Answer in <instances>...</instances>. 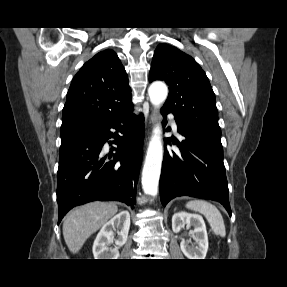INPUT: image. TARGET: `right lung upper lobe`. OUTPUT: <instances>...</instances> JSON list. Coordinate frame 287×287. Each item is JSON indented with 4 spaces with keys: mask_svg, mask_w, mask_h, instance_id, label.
I'll use <instances>...</instances> for the list:
<instances>
[{
    "mask_svg": "<svg viewBox=\"0 0 287 287\" xmlns=\"http://www.w3.org/2000/svg\"><path fill=\"white\" fill-rule=\"evenodd\" d=\"M131 106L125 69L113 50H104L86 62L73 78L63 108L62 126L92 125Z\"/></svg>",
    "mask_w": 287,
    "mask_h": 287,
    "instance_id": "1",
    "label": "right lung upper lobe"
}]
</instances>
